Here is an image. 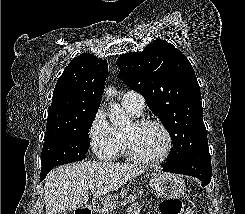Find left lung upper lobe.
<instances>
[{
    "label": "left lung upper lobe",
    "instance_id": "left-lung-upper-lobe-1",
    "mask_svg": "<svg viewBox=\"0 0 245 214\" xmlns=\"http://www.w3.org/2000/svg\"><path fill=\"white\" fill-rule=\"evenodd\" d=\"M116 63L124 84L146 99L149 109L168 130L173 150L167 161L208 147L200 87L182 52L158 39L142 52L121 55Z\"/></svg>",
    "mask_w": 245,
    "mask_h": 214
}]
</instances>
